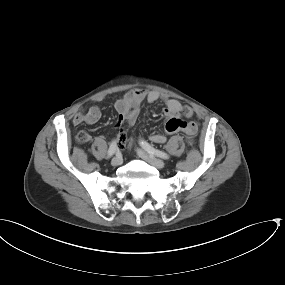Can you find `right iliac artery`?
I'll return each mask as SVG.
<instances>
[{
  "mask_svg": "<svg viewBox=\"0 0 285 285\" xmlns=\"http://www.w3.org/2000/svg\"><path fill=\"white\" fill-rule=\"evenodd\" d=\"M117 149H118L117 142L113 141L110 145L109 150H108V157L110 158L113 154H115Z\"/></svg>",
  "mask_w": 285,
  "mask_h": 285,
  "instance_id": "obj_1",
  "label": "right iliac artery"
}]
</instances>
